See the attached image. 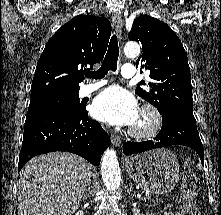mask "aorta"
<instances>
[{"mask_svg":"<svg viewBox=\"0 0 221 215\" xmlns=\"http://www.w3.org/2000/svg\"><path fill=\"white\" fill-rule=\"evenodd\" d=\"M124 54L128 58H136L140 54L139 44L136 42H128L124 46ZM101 175L107 190L114 191L119 188L121 172L116 152L112 148L106 150L103 154Z\"/></svg>","mask_w":221,"mask_h":215,"instance_id":"obj_1","label":"aorta"}]
</instances>
